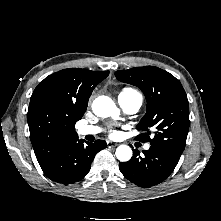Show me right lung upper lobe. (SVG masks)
Masks as SVG:
<instances>
[{
  "label": "right lung upper lobe",
  "instance_id": "1",
  "mask_svg": "<svg viewBox=\"0 0 221 221\" xmlns=\"http://www.w3.org/2000/svg\"><path fill=\"white\" fill-rule=\"evenodd\" d=\"M109 71L69 68L46 77L35 88L28 109L30 139L39 163L78 139L75 124L93 89Z\"/></svg>",
  "mask_w": 221,
  "mask_h": 221
}]
</instances>
